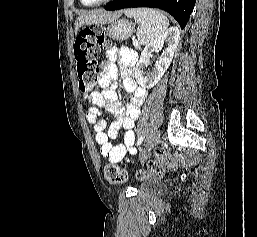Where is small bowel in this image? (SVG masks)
<instances>
[{"label":"small bowel","instance_id":"1","mask_svg":"<svg viewBox=\"0 0 257 237\" xmlns=\"http://www.w3.org/2000/svg\"><path fill=\"white\" fill-rule=\"evenodd\" d=\"M118 61L119 67L115 64ZM136 62V54L130 49H109L102 61V73L99 86L102 91L95 90L89 96L92 106L86 118L95 130V141L100 146V153L112 163L127 160L128 154H135V120L139 117L140 106L147 92L139 87L133 77L132 70ZM120 73L124 89L132 96L123 105L114 90V81ZM101 109L109 111L114 120L107 127ZM119 138V142L113 141Z\"/></svg>","mask_w":257,"mask_h":237}]
</instances>
